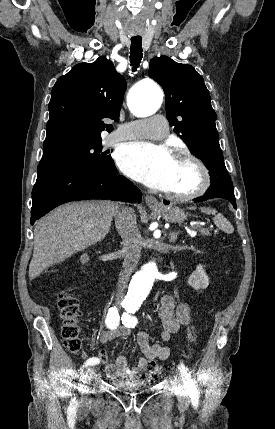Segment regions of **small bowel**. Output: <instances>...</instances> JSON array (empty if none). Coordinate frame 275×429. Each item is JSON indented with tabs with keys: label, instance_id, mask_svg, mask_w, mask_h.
I'll list each match as a JSON object with an SVG mask.
<instances>
[{
	"label": "small bowel",
	"instance_id": "c3829d8e",
	"mask_svg": "<svg viewBox=\"0 0 275 429\" xmlns=\"http://www.w3.org/2000/svg\"><path fill=\"white\" fill-rule=\"evenodd\" d=\"M157 316L163 325L162 339L168 340L172 334L178 332L182 325H189L191 322V307L187 302L176 303L171 295H164L160 300ZM130 330L124 326L103 331L99 335V341L106 344L118 337H126ZM137 342L144 357L140 358L133 367H129L127 359L123 354H119L114 363L105 367L106 375L109 378H137L143 372L149 361L154 359L165 360L168 358L169 348L160 344H151L147 332L142 331L137 335ZM101 355H106L104 352Z\"/></svg>",
	"mask_w": 275,
	"mask_h": 429
}]
</instances>
